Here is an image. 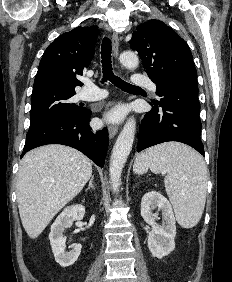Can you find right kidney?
I'll list each match as a JSON object with an SVG mask.
<instances>
[{"mask_svg": "<svg viewBox=\"0 0 232 282\" xmlns=\"http://www.w3.org/2000/svg\"><path fill=\"white\" fill-rule=\"evenodd\" d=\"M84 215L85 208L82 205L66 207L51 226L49 234L50 244L56 262L62 267L73 265L78 259L82 248L81 244H75L71 251H65L63 233L66 228L72 226L74 221L82 220Z\"/></svg>", "mask_w": 232, "mask_h": 282, "instance_id": "right-kidney-1", "label": "right kidney"}]
</instances>
